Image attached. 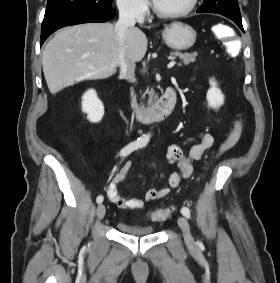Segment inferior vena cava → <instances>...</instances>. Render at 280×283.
<instances>
[{"instance_id": "obj_1", "label": "inferior vena cava", "mask_w": 280, "mask_h": 283, "mask_svg": "<svg viewBox=\"0 0 280 283\" xmlns=\"http://www.w3.org/2000/svg\"><path fill=\"white\" fill-rule=\"evenodd\" d=\"M119 19L115 25V32L118 41L117 49V64L120 68V75L130 82H136L135 78V63L130 62L126 58L124 52V43L126 40V35L129 28L134 27L135 20V11L132 5L130 4H121L119 5Z\"/></svg>"}]
</instances>
